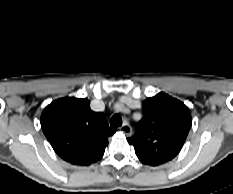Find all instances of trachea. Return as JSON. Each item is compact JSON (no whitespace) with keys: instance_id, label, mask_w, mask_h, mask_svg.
<instances>
[{"instance_id":"3493384b","label":"trachea","mask_w":233,"mask_h":194,"mask_svg":"<svg viewBox=\"0 0 233 194\" xmlns=\"http://www.w3.org/2000/svg\"><path fill=\"white\" fill-rule=\"evenodd\" d=\"M122 125V118L119 114H115L114 116H112L111 120H110V126L112 128H116Z\"/></svg>"}]
</instances>
